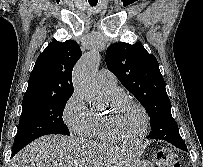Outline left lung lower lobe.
Segmentation results:
<instances>
[{
    "label": "left lung lower lobe",
    "mask_w": 203,
    "mask_h": 167,
    "mask_svg": "<svg viewBox=\"0 0 203 167\" xmlns=\"http://www.w3.org/2000/svg\"><path fill=\"white\" fill-rule=\"evenodd\" d=\"M163 140L168 141L172 145L187 151V147L181 137L177 135L166 136Z\"/></svg>",
    "instance_id": "left-lung-lower-lobe-1"
}]
</instances>
